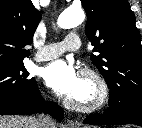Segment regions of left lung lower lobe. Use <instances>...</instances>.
Here are the masks:
<instances>
[{"label":"left lung lower lobe","instance_id":"obj_1","mask_svg":"<svg viewBox=\"0 0 142 128\" xmlns=\"http://www.w3.org/2000/svg\"><path fill=\"white\" fill-rule=\"evenodd\" d=\"M84 123L90 125L135 124L142 126V101L117 108L109 107L102 114L88 116Z\"/></svg>","mask_w":142,"mask_h":128}]
</instances>
